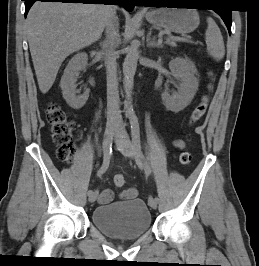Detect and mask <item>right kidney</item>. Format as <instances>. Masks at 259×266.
Listing matches in <instances>:
<instances>
[{
    "instance_id": "right-kidney-1",
    "label": "right kidney",
    "mask_w": 259,
    "mask_h": 266,
    "mask_svg": "<svg viewBox=\"0 0 259 266\" xmlns=\"http://www.w3.org/2000/svg\"><path fill=\"white\" fill-rule=\"evenodd\" d=\"M88 61V56L84 52L77 53L69 61L64 70V74L60 81L62 95L67 104L73 109L82 108L89 97V89H86L82 95H76V81L80 71L85 69Z\"/></svg>"
}]
</instances>
